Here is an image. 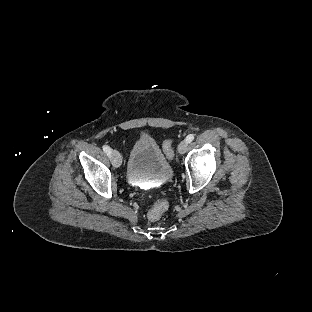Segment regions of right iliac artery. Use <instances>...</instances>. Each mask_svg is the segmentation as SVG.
I'll list each match as a JSON object with an SVG mask.
<instances>
[{
  "label": "right iliac artery",
  "mask_w": 312,
  "mask_h": 312,
  "mask_svg": "<svg viewBox=\"0 0 312 312\" xmlns=\"http://www.w3.org/2000/svg\"><path fill=\"white\" fill-rule=\"evenodd\" d=\"M103 150H104V152H105L108 156L111 155V149H110L109 146L104 145V146H103Z\"/></svg>",
  "instance_id": "1"
}]
</instances>
